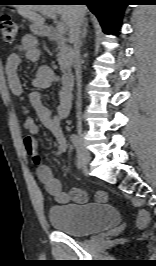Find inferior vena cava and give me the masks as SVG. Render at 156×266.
I'll use <instances>...</instances> for the list:
<instances>
[{
    "label": "inferior vena cava",
    "instance_id": "inferior-vena-cava-1",
    "mask_svg": "<svg viewBox=\"0 0 156 266\" xmlns=\"http://www.w3.org/2000/svg\"><path fill=\"white\" fill-rule=\"evenodd\" d=\"M82 20L75 16L73 26L70 31V39L73 43V55H74V68L77 83V117L80 118L81 114V82H82V71H81V58H80V33H81Z\"/></svg>",
    "mask_w": 156,
    "mask_h": 266
}]
</instances>
